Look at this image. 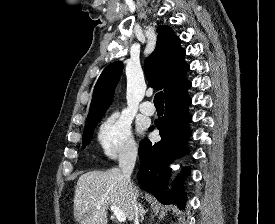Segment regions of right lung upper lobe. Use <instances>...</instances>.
Listing matches in <instances>:
<instances>
[{"instance_id":"right-lung-upper-lobe-1","label":"right lung upper lobe","mask_w":275,"mask_h":224,"mask_svg":"<svg viewBox=\"0 0 275 224\" xmlns=\"http://www.w3.org/2000/svg\"><path fill=\"white\" fill-rule=\"evenodd\" d=\"M156 48L145 61V72L152 87L164 89V95L186 81L189 65L180 39L169 26H159ZM123 64L116 61L108 65L94 87L86 125L103 117L113 97L114 88L121 76ZM158 79V80H157Z\"/></svg>"}]
</instances>
